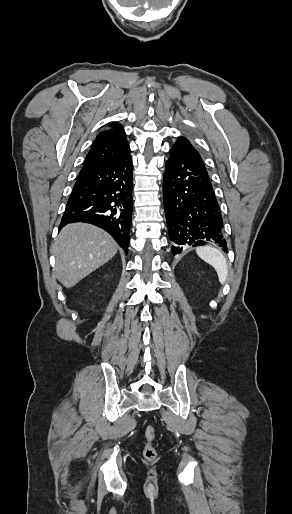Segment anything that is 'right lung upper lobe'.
Instances as JSON below:
<instances>
[{"instance_id":"cb5924a9","label":"right lung upper lobe","mask_w":292,"mask_h":514,"mask_svg":"<svg viewBox=\"0 0 292 514\" xmlns=\"http://www.w3.org/2000/svg\"><path fill=\"white\" fill-rule=\"evenodd\" d=\"M100 132L89 150L84 166H100L119 160L130 153L123 127L118 122Z\"/></svg>"}]
</instances>
